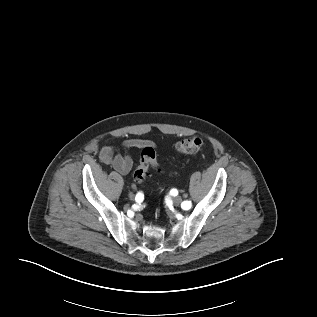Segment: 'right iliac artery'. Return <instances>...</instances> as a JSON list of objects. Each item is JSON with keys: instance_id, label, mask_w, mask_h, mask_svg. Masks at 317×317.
Here are the masks:
<instances>
[{"instance_id": "obj_1", "label": "right iliac artery", "mask_w": 317, "mask_h": 317, "mask_svg": "<svg viewBox=\"0 0 317 317\" xmlns=\"http://www.w3.org/2000/svg\"><path fill=\"white\" fill-rule=\"evenodd\" d=\"M143 199H144V195L141 192H138L135 196L136 202L141 203Z\"/></svg>"}]
</instances>
